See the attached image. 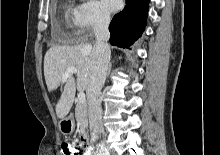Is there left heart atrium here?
Returning a JSON list of instances; mask_svg holds the SVG:
<instances>
[{
	"mask_svg": "<svg viewBox=\"0 0 220 155\" xmlns=\"http://www.w3.org/2000/svg\"><path fill=\"white\" fill-rule=\"evenodd\" d=\"M103 6L108 10V11H116L118 10L121 5H122V0H101Z\"/></svg>",
	"mask_w": 220,
	"mask_h": 155,
	"instance_id": "39dd6f15",
	"label": "left heart atrium"
}]
</instances>
